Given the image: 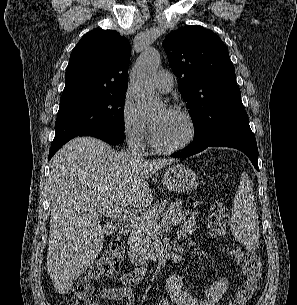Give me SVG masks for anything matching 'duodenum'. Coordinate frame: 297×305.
Wrapping results in <instances>:
<instances>
[{"label": "duodenum", "mask_w": 297, "mask_h": 305, "mask_svg": "<svg viewBox=\"0 0 297 305\" xmlns=\"http://www.w3.org/2000/svg\"><path fill=\"white\" fill-rule=\"evenodd\" d=\"M116 228L125 246L126 255L130 262L137 267H143L146 260L135 250L129 226L126 223L118 222Z\"/></svg>", "instance_id": "duodenum-1"}]
</instances>
